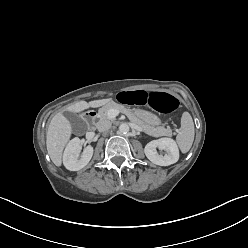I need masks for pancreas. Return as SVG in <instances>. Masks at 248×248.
I'll return each mask as SVG.
<instances>
[{
    "label": "pancreas",
    "instance_id": "cf45deb5",
    "mask_svg": "<svg viewBox=\"0 0 248 248\" xmlns=\"http://www.w3.org/2000/svg\"><path fill=\"white\" fill-rule=\"evenodd\" d=\"M110 109H116L126 114L132 122L138 124L147 134L153 136H172V130L170 128H164L163 126L154 127L149 124H146L145 122L140 120L131 109L126 108L125 106L117 104L115 102H109L108 104L100 108L98 112V117L100 119H109L108 111Z\"/></svg>",
    "mask_w": 248,
    "mask_h": 248
}]
</instances>
